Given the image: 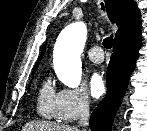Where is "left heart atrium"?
Listing matches in <instances>:
<instances>
[{"label":"left heart atrium","instance_id":"obj_1","mask_svg":"<svg viewBox=\"0 0 147 131\" xmlns=\"http://www.w3.org/2000/svg\"><path fill=\"white\" fill-rule=\"evenodd\" d=\"M89 89L93 97L98 98L105 92V82L98 73H93L89 80Z\"/></svg>","mask_w":147,"mask_h":131}]
</instances>
